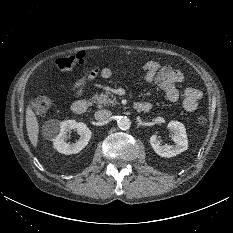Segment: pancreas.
Returning a JSON list of instances; mask_svg holds the SVG:
<instances>
[{
	"mask_svg": "<svg viewBox=\"0 0 233 233\" xmlns=\"http://www.w3.org/2000/svg\"><path fill=\"white\" fill-rule=\"evenodd\" d=\"M94 100H96L98 107L115 105L117 103L116 99L110 96V92L95 94Z\"/></svg>",
	"mask_w": 233,
	"mask_h": 233,
	"instance_id": "cf45deb5",
	"label": "pancreas"
}]
</instances>
